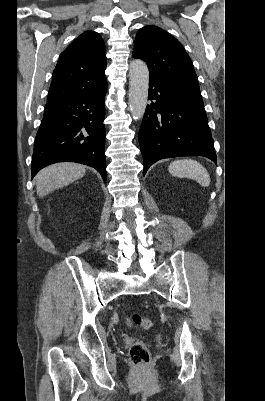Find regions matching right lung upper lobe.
<instances>
[{"label":"right lung upper lobe","instance_id":"1","mask_svg":"<svg viewBox=\"0 0 265 401\" xmlns=\"http://www.w3.org/2000/svg\"><path fill=\"white\" fill-rule=\"evenodd\" d=\"M106 65L103 39L94 31L84 32L61 53L46 105L105 88Z\"/></svg>","mask_w":265,"mask_h":401}]
</instances>
